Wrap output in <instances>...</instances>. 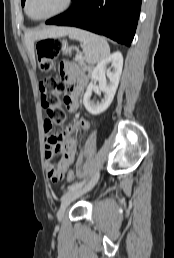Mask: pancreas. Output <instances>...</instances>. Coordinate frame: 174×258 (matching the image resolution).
<instances>
[{
    "instance_id": "cf45deb5",
    "label": "pancreas",
    "mask_w": 174,
    "mask_h": 258,
    "mask_svg": "<svg viewBox=\"0 0 174 258\" xmlns=\"http://www.w3.org/2000/svg\"><path fill=\"white\" fill-rule=\"evenodd\" d=\"M75 61L78 62V64L80 65V67L85 70V71H88L89 73H91L93 67L92 66H88L84 63L83 59H77L75 58Z\"/></svg>"
}]
</instances>
